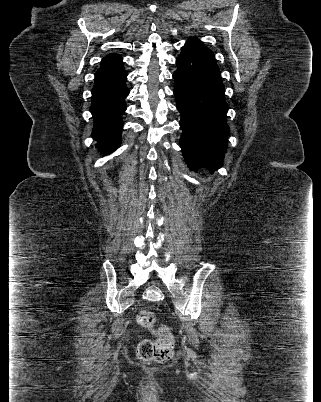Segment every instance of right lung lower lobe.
<instances>
[{
	"mask_svg": "<svg viewBox=\"0 0 321 402\" xmlns=\"http://www.w3.org/2000/svg\"><path fill=\"white\" fill-rule=\"evenodd\" d=\"M127 72L122 64H101L95 73L91 113L94 127L91 136L105 155L121 144L122 114L129 89L125 85Z\"/></svg>",
	"mask_w": 321,
	"mask_h": 402,
	"instance_id": "obj_1",
	"label": "right lung lower lobe"
}]
</instances>
